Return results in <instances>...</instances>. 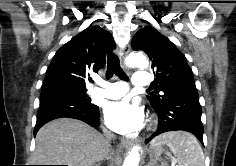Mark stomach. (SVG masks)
I'll list each match as a JSON object with an SVG mask.
<instances>
[{"instance_id":"0dacf381","label":"stomach","mask_w":236,"mask_h":166,"mask_svg":"<svg viewBox=\"0 0 236 166\" xmlns=\"http://www.w3.org/2000/svg\"><path fill=\"white\" fill-rule=\"evenodd\" d=\"M162 153V147L154 146L151 144L149 149L150 163L147 166H167L166 164H161L160 156Z\"/></svg>"}]
</instances>
